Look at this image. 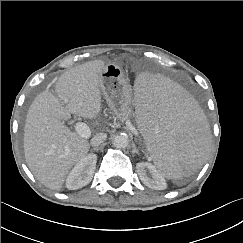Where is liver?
Instances as JSON below:
<instances>
[{"label": "liver", "instance_id": "liver-1", "mask_svg": "<svg viewBox=\"0 0 243 243\" xmlns=\"http://www.w3.org/2000/svg\"><path fill=\"white\" fill-rule=\"evenodd\" d=\"M105 66L104 61L95 60L66 71L55 84L58 96L46 90L28 110L24 127L26 163L49 189L60 191L69 170L89 151L87 138L71 132L61 120L70 119L71 114L88 119L100 114V75ZM98 124L95 121L93 126Z\"/></svg>", "mask_w": 243, "mask_h": 243}]
</instances>
